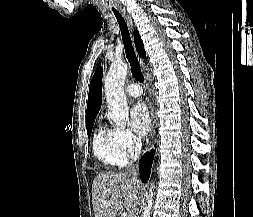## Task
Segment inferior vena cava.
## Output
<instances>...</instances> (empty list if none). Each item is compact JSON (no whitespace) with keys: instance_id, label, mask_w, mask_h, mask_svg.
<instances>
[{"instance_id":"602c4592","label":"inferior vena cava","mask_w":253,"mask_h":217,"mask_svg":"<svg viewBox=\"0 0 253 217\" xmlns=\"http://www.w3.org/2000/svg\"><path fill=\"white\" fill-rule=\"evenodd\" d=\"M136 147H137V150L138 152L140 153V150H141V141L138 140V142L136 143ZM128 173L133 177V178H136L137 177V170L136 168H130L128 170Z\"/></svg>"}]
</instances>
